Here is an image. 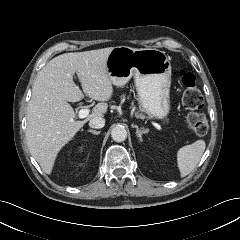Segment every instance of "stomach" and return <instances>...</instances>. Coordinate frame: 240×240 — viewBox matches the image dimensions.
Masks as SVG:
<instances>
[{"label": "stomach", "mask_w": 240, "mask_h": 240, "mask_svg": "<svg viewBox=\"0 0 240 240\" xmlns=\"http://www.w3.org/2000/svg\"><path fill=\"white\" fill-rule=\"evenodd\" d=\"M112 84L125 85L134 78L141 111L157 119L170 110L171 63L165 52L152 48L114 47L106 60Z\"/></svg>", "instance_id": "0dacf381"}]
</instances>
